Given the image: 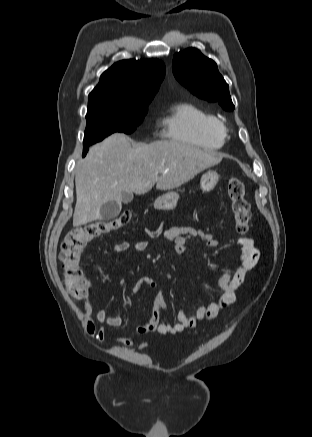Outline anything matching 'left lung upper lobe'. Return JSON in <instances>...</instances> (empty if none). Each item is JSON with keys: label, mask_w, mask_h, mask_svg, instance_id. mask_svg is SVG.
Segmentation results:
<instances>
[{"label": "left lung upper lobe", "mask_w": 312, "mask_h": 437, "mask_svg": "<svg viewBox=\"0 0 312 437\" xmlns=\"http://www.w3.org/2000/svg\"><path fill=\"white\" fill-rule=\"evenodd\" d=\"M176 79L197 97L218 102L227 111L234 110L228 84L219 73L216 63L199 50L189 48L173 57Z\"/></svg>", "instance_id": "obj_1"}]
</instances>
